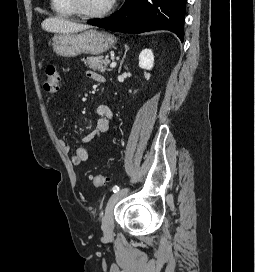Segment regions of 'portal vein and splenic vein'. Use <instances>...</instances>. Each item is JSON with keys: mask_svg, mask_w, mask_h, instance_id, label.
Returning <instances> with one entry per match:
<instances>
[{"mask_svg": "<svg viewBox=\"0 0 255 272\" xmlns=\"http://www.w3.org/2000/svg\"><path fill=\"white\" fill-rule=\"evenodd\" d=\"M110 67H111V68L116 67V62L113 61V62L110 64Z\"/></svg>", "mask_w": 255, "mask_h": 272, "instance_id": "18ae733b", "label": "portal vein and splenic vein"}]
</instances>
